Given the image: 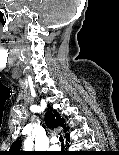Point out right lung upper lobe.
I'll return each instance as SVG.
<instances>
[{"label": "right lung upper lobe", "mask_w": 119, "mask_h": 155, "mask_svg": "<svg viewBox=\"0 0 119 155\" xmlns=\"http://www.w3.org/2000/svg\"><path fill=\"white\" fill-rule=\"evenodd\" d=\"M49 106V105H48ZM50 111L46 113L45 123L49 128L63 127L65 132V137L68 136L69 127H65V119L61 118L56 111L52 110L49 106ZM21 141L16 140L7 151L6 155H25L23 151H20Z\"/></svg>", "instance_id": "1"}]
</instances>
